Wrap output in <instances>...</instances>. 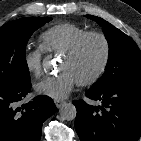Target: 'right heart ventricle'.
<instances>
[{"mask_svg":"<svg viewBox=\"0 0 141 141\" xmlns=\"http://www.w3.org/2000/svg\"><path fill=\"white\" fill-rule=\"evenodd\" d=\"M87 30L73 23H60L45 30L40 36L45 51L64 53Z\"/></svg>","mask_w":141,"mask_h":141,"instance_id":"obj_1","label":"right heart ventricle"}]
</instances>
